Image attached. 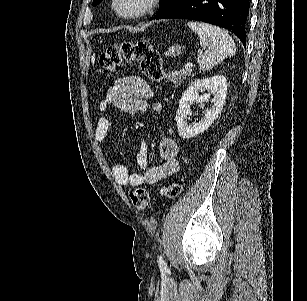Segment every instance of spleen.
<instances>
[{
    "mask_svg": "<svg viewBox=\"0 0 307 301\" xmlns=\"http://www.w3.org/2000/svg\"><path fill=\"white\" fill-rule=\"evenodd\" d=\"M188 26L198 34L201 46L206 48L199 60L201 70H210L227 56L236 54L235 42L223 28L207 22H193V20L188 22Z\"/></svg>",
    "mask_w": 307,
    "mask_h": 301,
    "instance_id": "obj_1",
    "label": "spleen"
}]
</instances>
